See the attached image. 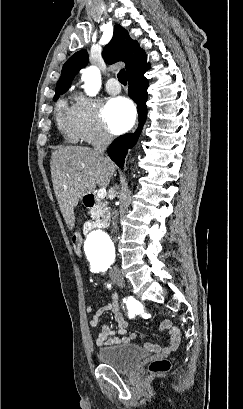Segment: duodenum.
Instances as JSON below:
<instances>
[{"label": "duodenum", "mask_w": 243, "mask_h": 409, "mask_svg": "<svg viewBox=\"0 0 243 409\" xmlns=\"http://www.w3.org/2000/svg\"><path fill=\"white\" fill-rule=\"evenodd\" d=\"M84 205L89 209H96L99 207L100 203L97 197L92 194H86L83 198ZM107 226V221L104 217H98L93 223H88L85 226L86 230H91L94 228H105Z\"/></svg>", "instance_id": "duodenum-1"}]
</instances>
